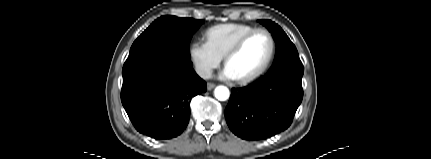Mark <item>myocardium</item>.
<instances>
[{
	"instance_id": "obj_1",
	"label": "myocardium",
	"mask_w": 431,
	"mask_h": 159,
	"mask_svg": "<svg viewBox=\"0 0 431 159\" xmlns=\"http://www.w3.org/2000/svg\"><path fill=\"white\" fill-rule=\"evenodd\" d=\"M257 33H264L266 34L269 39H270V43H271V49H270V53L268 55L267 60L265 61V63L254 73L246 76V77H242V78H238L236 79L240 84H248L251 83L257 79H259L261 76H263L268 69L270 68L275 54H276V41L275 38L273 36V34L264 28H255L252 31H249L248 33L244 34L230 49L229 51L226 53V55L224 56V62L225 65L227 66L228 62L234 57L236 56L244 47V45L246 44V42L255 34Z\"/></svg>"
}]
</instances>
